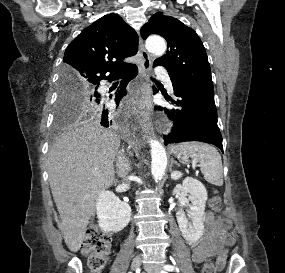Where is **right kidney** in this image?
Segmentation results:
<instances>
[{
	"instance_id": "obj_1",
	"label": "right kidney",
	"mask_w": 285,
	"mask_h": 273,
	"mask_svg": "<svg viewBox=\"0 0 285 273\" xmlns=\"http://www.w3.org/2000/svg\"><path fill=\"white\" fill-rule=\"evenodd\" d=\"M99 227L105 232H119L130 222L131 208L110 191L99 194L96 202Z\"/></svg>"
}]
</instances>
